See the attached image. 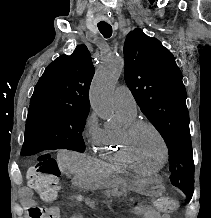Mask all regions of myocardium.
Returning <instances> with one entry per match:
<instances>
[{
    "mask_svg": "<svg viewBox=\"0 0 211 218\" xmlns=\"http://www.w3.org/2000/svg\"><path fill=\"white\" fill-rule=\"evenodd\" d=\"M141 127H148L150 128L158 137L162 150H163V158L160 162V165H163L167 159V144L165 142L164 136L161 131L150 121L143 120V119H135L129 124H127L123 130V144L125 151L127 152L131 162L143 166V162H141L134 154V146H133V139L136 131ZM150 167V166H149Z\"/></svg>",
    "mask_w": 211,
    "mask_h": 218,
    "instance_id": "1",
    "label": "myocardium"
}]
</instances>
